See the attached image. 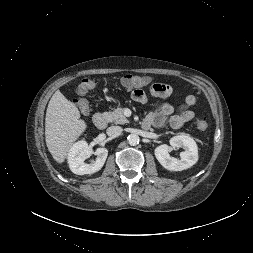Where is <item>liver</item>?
<instances>
[{"instance_id":"1","label":"liver","mask_w":253,"mask_h":253,"mask_svg":"<svg viewBox=\"0 0 253 253\" xmlns=\"http://www.w3.org/2000/svg\"><path fill=\"white\" fill-rule=\"evenodd\" d=\"M86 128L78 108L57 90L49 101L45 118L46 145L56 162H64Z\"/></svg>"}]
</instances>
